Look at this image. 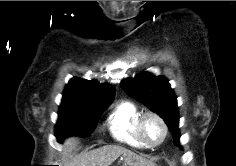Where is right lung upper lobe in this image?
<instances>
[{"label":"right lung upper lobe","mask_w":236,"mask_h":166,"mask_svg":"<svg viewBox=\"0 0 236 166\" xmlns=\"http://www.w3.org/2000/svg\"><path fill=\"white\" fill-rule=\"evenodd\" d=\"M114 94L115 88L110 84L74 77L63 91L62 104L104 107L111 104Z\"/></svg>","instance_id":"cb5924a9"}]
</instances>
